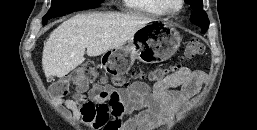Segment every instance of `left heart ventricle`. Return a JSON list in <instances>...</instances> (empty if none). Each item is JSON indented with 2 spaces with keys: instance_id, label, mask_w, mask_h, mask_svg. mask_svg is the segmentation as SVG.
Segmentation results:
<instances>
[{
  "instance_id": "1",
  "label": "left heart ventricle",
  "mask_w": 257,
  "mask_h": 130,
  "mask_svg": "<svg viewBox=\"0 0 257 130\" xmlns=\"http://www.w3.org/2000/svg\"><path fill=\"white\" fill-rule=\"evenodd\" d=\"M169 3L172 7H177L179 5L178 0H169Z\"/></svg>"
}]
</instances>
